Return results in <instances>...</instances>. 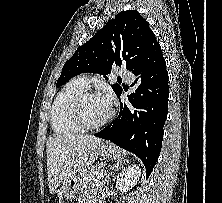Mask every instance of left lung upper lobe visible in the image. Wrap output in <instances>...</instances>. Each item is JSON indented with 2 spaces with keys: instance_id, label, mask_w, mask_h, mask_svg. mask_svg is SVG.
I'll list each match as a JSON object with an SVG mask.
<instances>
[{
  "instance_id": "1",
  "label": "left lung upper lobe",
  "mask_w": 222,
  "mask_h": 203,
  "mask_svg": "<svg viewBox=\"0 0 222 203\" xmlns=\"http://www.w3.org/2000/svg\"><path fill=\"white\" fill-rule=\"evenodd\" d=\"M151 32L148 22L137 11L120 12L77 48L64 64L56 86H62L81 73L108 74L113 64H124L126 69L131 70L143 54ZM112 88L117 96L122 91L118 84L112 85Z\"/></svg>"
}]
</instances>
